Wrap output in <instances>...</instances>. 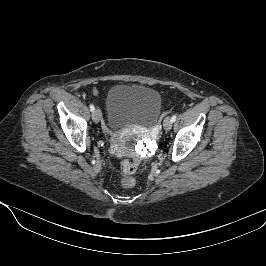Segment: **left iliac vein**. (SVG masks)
<instances>
[{
	"instance_id": "obj_1",
	"label": "left iliac vein",
	"mask_w": 266,
	"mask_h": 266,
	"mask_svg": "<svg viewBox=\"0 0 266 266\" xmlns=\"http://www.w3.org/2000/svg\"><path fill=\"white\" fill-rule=\"evenodd\" d=\"M172 121L169 117H166L163 122V127L166 131H169L172 128Z\"/></svg>"
}]
</instances>
